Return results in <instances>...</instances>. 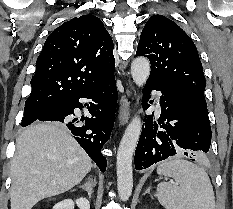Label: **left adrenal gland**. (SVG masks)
<instances>
[{"label":"left adrenal gland","instance_id":"left-adrenal-gland-1","mask_svg":"<svg viewBox=\"0 0 233 209\" xmlns=\"http://www.w3.org/2000/svg\"><path fill=\"white\" fill-rule=\"evenodd\" d=\"M145 194H149L152 197V195L150 193V187H148L147 190L143 193V195H145Z\"/></svg>","mask_w":233,"mask_h":209}]
</instances>
